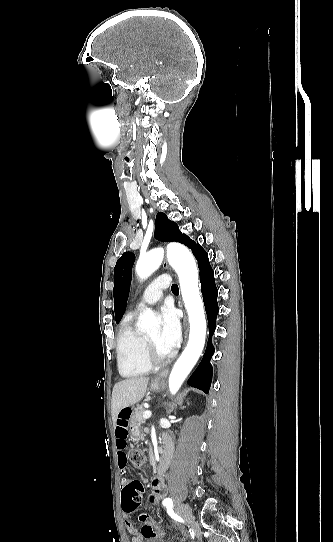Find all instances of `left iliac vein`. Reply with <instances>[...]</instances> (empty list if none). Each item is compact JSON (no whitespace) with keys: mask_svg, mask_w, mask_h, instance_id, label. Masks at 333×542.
<instances>
[{"mask_svg":"<svg viewBox=\"0 0 333 542\" xmlns=\"http://www.w3.org/2000/svg\"><path fill=\"white\" fill-rule=\"evenodd\" d=\"M177 513L190 525L194 524V517L192 514L191 507L185 503H181L177 508Z\"/></svg>","mask_w":333,"mask_h":542,"instance_id":"4c4485c4","label":"left iliac vein"}]
</instances>
